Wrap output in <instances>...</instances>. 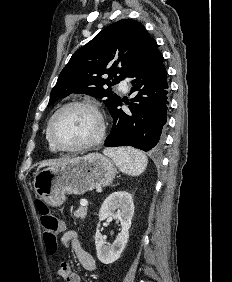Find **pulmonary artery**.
<instances>
[{"mask_svg": "<svg viewBox=\"0 0 232 282\" xmlns=\"http://www.w3.org/2000/svg\"><path fill=\"white\" fill-rule=\"evenodd\" d=\"M118 89L121 90L122 92H127L128 91V85H127L126 81L119 82Z\"/></svg>", "mask_w": 232, "mask_h": 282, "instance_id": "obj_1", "label": "pulmonary artery"}]
</instances>
